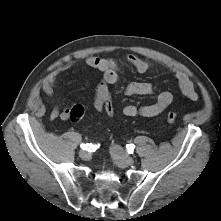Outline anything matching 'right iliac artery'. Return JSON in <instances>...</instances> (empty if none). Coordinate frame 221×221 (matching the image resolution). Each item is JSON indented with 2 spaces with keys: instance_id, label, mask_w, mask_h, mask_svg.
<instances>
[{
  "instance_id": "82829eb1",
  "label": "right iliac artery",
  "mask_w": 221,
  "mask_h": 221,
  "mask_svg": "<svg viewBox=\"0 0 221 221\" xmlns=\"http://www.w3.org/2000/svg\"><path fill=\"white\" fill-rule=\"evenodd\" d=\"M97 147H98L97 145H93L92 143L81 144V148L83 150H88V151H94L97 149Z\"/></svg>"
}]
</instances>
